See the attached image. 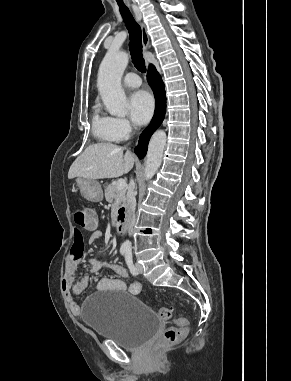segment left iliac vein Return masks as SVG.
Instances as JSON below:
<instances>
[{"label":"left iliac vein","instance_id":"4c4485c4","mask_svg":"<svg viewBox=\"0 0 291 381\" xmlns=\"http://www.w3.org/2000/svg\"><path fill=\"white\" fill-rule=\"evenodd\" d=\"M136 269L138 274H141L143 272V267L140 263H136Z\"/></svg>","mask_w":291,"mask_h":381}]
</instances>
